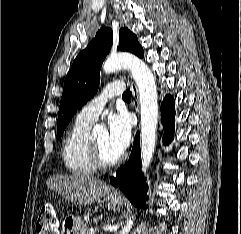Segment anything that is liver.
Here are the masks:
<instances>
[{"mask_svg": "<svg viewBox=\"0 0 241 234\" xmlns=\"http://www.w3.org/2000/svg\"><path fill=\"white\" fill-rule=\"evenodd\" d=\"M46 185L66 200L80 205L92 204L111 190L99 179L82 175H53L47 179Z\"/></svg>", "mask_w": 241, "mask_h": 234, "instance_id": "liver-1", "label": "liver"}]
</instances>
